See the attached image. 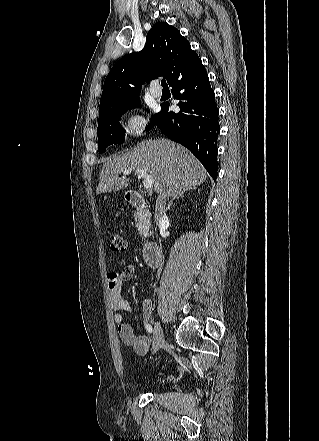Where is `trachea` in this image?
<instances>
[{
  "label": "trachea",
  "instance_id": "obj_1",
  "mask_svg": "<svg viewBox=\"0 0 319 441\" xmlns=\"http://www.w3.org/2000/svg\"><path fill=\"white\" fill-rule=\"evenodd\" d=\"M161 85H162L163 88H167L168 87V85H167L165 80L161 81Z\"/></svg>",
  "mask_w": 319,
  "mask_h": 441
}]
</instances>
